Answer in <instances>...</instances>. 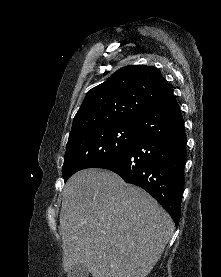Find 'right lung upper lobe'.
<instances>
[{"instance_id": "cb5924a9", "label": "right lung upper lobe", "mask_w": 221, "mask_h": 277, "mask_svg": "<svg viewBox=\"0 0 221 277\" xmlns=\"http://www.w3.org/2000/svg\"><path fill=\"white\" fill-rule=\"evenodd\" d=\"M173 96L168 82L154 66L123 67L86 94L70 136L97 126L136 122Z\"/></svg>"}]
</instances>
